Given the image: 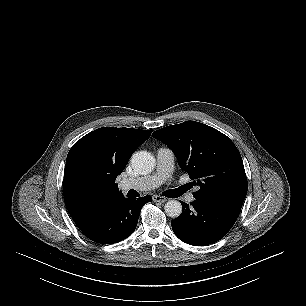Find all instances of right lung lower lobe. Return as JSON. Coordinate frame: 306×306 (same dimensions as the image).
Segmentation results:
<instances>
[{"label": "right lung lower lobe", "mask_w": 306, "mask_h": 306, "mask_svg": "<svg viewBox=\"0 0 306 306\" xmlns=\"http://www.w3.org/2000/svg\"><path fill=\"white\" fill-rule=\"evenodd\" d=\"M150 201V196L137 200L124 198L78 228L94 242L100 244L120 242L134 232L142 207Z\"/></svg>", "instance_id": "obj_1"}]
</instances>
